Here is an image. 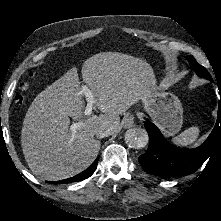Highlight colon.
Segmentation results:
<instances>
[{
	"label": "colon",
	"mask_w": 221,
	"mask_h": 221,
	"mask_svg": "<svg viewBox=\"0 0 221 221\" xmlns=\"http://www.w3.org/2000/svg\"><path fill=\"white\" fill-rule=\"evenodd\" d=\"M29 90H30V84L28 82L23 83L21 88V94L17 99V103L19 105H22L24 103L26 94L29 92Z\"/></svg>",
	"instance_id": "colon-1"
}]
</instances>
